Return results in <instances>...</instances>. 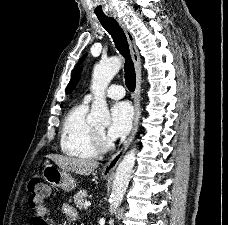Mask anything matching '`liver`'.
Masks as SVG:
<instances>
[{
    "label": "liver",
    "mask_w": 228,
    "mask_h": 225,
    "mask_svg": "<svg viewBox=\"0 0 228 225\" xmlns=\"http://www.w3.org/2000/svg\"><path fill=\"white\" fill-rule=\"evenodd\" d=\"M47 159L54 161L60 169L72 171L76 175H91L100 163L97 161H87V159H73V157H63V155H46Z\"/></svg>",
    "instance_id": "liver-1"
}]
</instances>
